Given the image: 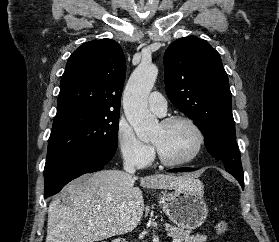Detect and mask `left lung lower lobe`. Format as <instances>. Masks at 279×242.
<instances>
[{
    "label": "left lung lower lobe",
    "instance_id": "left-lung-lower-lobe-1",
    "mask_svg": "<svg viewBox=\"0 0 279 242\" xmlns=\"http://www.w3.org/2000/svg\"><path fill=\"white\" fill-rule=\"evenodd\" d=\"M195 170L194 168H175V169H171L169 170V172H187V171H193ZM234 176V175H233ZM238 182L241 184L242 189H244V178L238 177V176H234Z\"/></svg>",
    "mask_w": 279,
    "mask_h": 242
}]
</instances>
